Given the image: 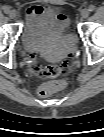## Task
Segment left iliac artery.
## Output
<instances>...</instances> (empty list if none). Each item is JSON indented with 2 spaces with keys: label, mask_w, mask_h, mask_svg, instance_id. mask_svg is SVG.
<instances>
[{
  "label": "left iliac artery",
  "mask_w": 104,
  "mask_h": 137,
  "mask_svg": "<svg viewBox=\"0 0 104 137\" xmlns=\"http://www.w3.org/2000/svg\"><path fill=\"white\" fill-rule=\"evenodd\" d=\"M95 10V6L94 5H90L89 6V11L93 12Z\"/></svg>",
  "instance_id": "obj_1"
}]
</instances>
